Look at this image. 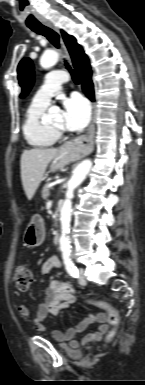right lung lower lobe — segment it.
Masks as SVG:
<instances>
[{"instance_id":"1","label":"right lung lower lobe","mask_w":145,"mask_h":385,"mask_svg":"<svg viewBox=\"0 0 145 385\" xmlns=\"http://www.w3.org/2000/svg\"><path fill=\"white\" fill-rule=\"evenodd\" d=\"M79 75L81 76L82 88L86 96L94 101V89L92 82V71L90 65H84L82 69L77 70Z\"/></svg>"}]
</instances>
